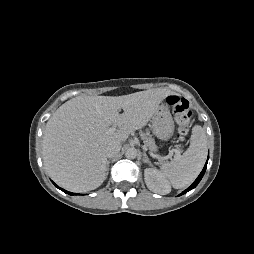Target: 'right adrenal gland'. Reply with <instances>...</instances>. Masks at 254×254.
I'll list each match as a JSON object with an SVG mask.
<instances>
[{
    "label": "right adrenal gland",
    "mask_w": 254,
    "mask_h": 254,
    "mask_svg": "<svg viewBox=\"0 0 254 254\" xmlns=\"http://www.w3.org/2000/svg\"><path fill=\"white\" fill-rule=\"evenodd\" d=\"M110 162H111V160H108V161H107V165H106V176H107L108 173H109V165H110Z\"/></svg>",
    "instance_id": "obj_1"
}]
</instances>
